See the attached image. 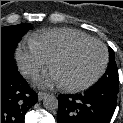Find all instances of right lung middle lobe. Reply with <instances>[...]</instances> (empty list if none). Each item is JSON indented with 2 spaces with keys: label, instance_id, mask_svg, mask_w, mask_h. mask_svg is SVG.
Here are the masks:
<instances>
[{
  "label": "right lung middle lobe",
  "instance_id": "dd1d6c3e",
  "mask_svg": "<svg viewBox=\"0 0 123 123\" xmlns=\"http://www.w3.org/2000/svg\"><path fill=\"white\" fill-rule=\"evenodd\" d=\"M29 29L28 23L1 27V61L16 66L14 62L15 48Z\"/></svg>",
  "mask_w": 123,
  "mask_h": 123
}]
</instances>
